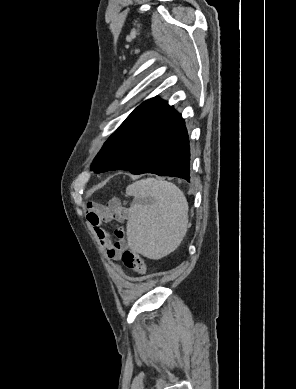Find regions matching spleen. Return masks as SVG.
<instances>
[{"instance_id": "1", "label": "spleen", "mask_w": 296, "mask_h": 389, "mask_svg": "<svg viewBox=\"0 0 296 389\" xmlns=\"http://www.w3.org/2000/svg\"><path fill=\"white\" fill-rule=\"evenodd\" d=\"M133 196L127 221L128 246L158 260L182 242L188 226V203L183 192L168 181L147 178L126 188Z\"/></svg>"}]
</instances>
